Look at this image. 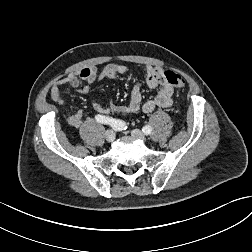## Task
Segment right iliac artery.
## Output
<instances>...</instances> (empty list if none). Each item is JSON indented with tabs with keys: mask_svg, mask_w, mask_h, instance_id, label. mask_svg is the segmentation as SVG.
I'll list each match as a JSON object with an SVG mask.
<instances>
[{
	"mask_svg": "<svg viewBox=\"0 0 252 252\" xmlns=\"http://www.w3.org/2000/svg\"><path fill=\"white\" fill-rule=\"evenodd\" d=\"M95 119L97 122L102 123V124H108L111 127L115 126V125H120L125 129H127V126L125 124V122L121 121V120H116L113 118H109V117H105V116H101V115H96Z\"/></svg>",
	"mask_w": 252,
	"mask_h": 252,
	"instance_id": "82829eb1",
	"label": "right iliac artery"
}]
</instances>
